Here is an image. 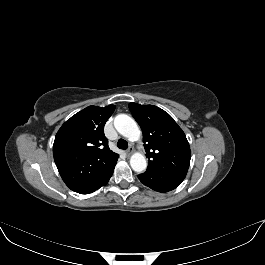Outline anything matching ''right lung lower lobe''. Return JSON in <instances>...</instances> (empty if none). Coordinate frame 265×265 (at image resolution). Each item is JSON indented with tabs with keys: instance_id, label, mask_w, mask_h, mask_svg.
<instances>
[{
	"instance_id": "1",
	"label": "right lung lower lobe",
	"mask_w": 265,
	"mask_h": 265,
	"mask_svg": "<svg viewBox=\"0 0 265 265\" xmlns=\"http://www.w3.org/2000/svg\"><path fill=\"white\" fill-rule=\"evenodd\" d=\"M115 165L113 166L112 169H110L109 171L104 173L101 177H99L98 179L89 183L88 185L76 190L75 192L80 193V194H88V193H91V192L99 189L100 187L104 186L105 184H107L110 177L112 176Z\"/></svg>"
}]
</instances>
